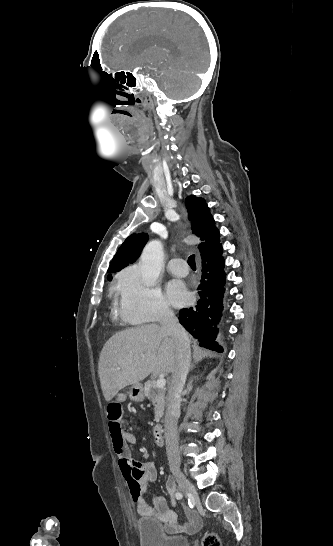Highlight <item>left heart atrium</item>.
Masks as SVG:
<instances>
[{
	"instance_id": "obj_1",
	"label": "left heart atrium",
	"mask_w": 333,
	"mask_h": 546,
	"mask_svg": "<svg viewBox=\"0 0 333 546\" xmlns=\"http://www.w3.org/2000/svg\"><path fill=\"white\" fill-rule=\"evenodd\" d=\"M167 294L171 303L175 306H181L188 300V292L184 284L177 280L168 284Z\"/></svg>"
}]
</instances>
